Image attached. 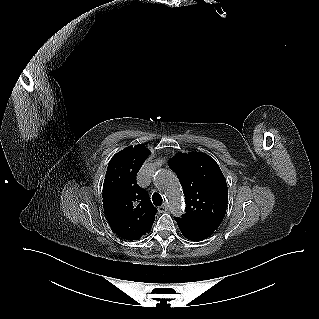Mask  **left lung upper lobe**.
I'll return each instance as SVG.
<instances>
[{
	"mask_svg": "<svg viewBox=\"0 0 319 319\" xmlns=\"http://www.w3.org/2000/svg\"><path fill=\"white\" fill-rule=\"evenodd\" d=\"M176 173L186 200L182 220L217 229L224 218L228 202L227 183L216 161L207 154L178 153L168 161Z\"/></svg>",
	"mask_w": 319,
	"mask_h": 319,
	"instance_id": "5c2ea615",
	"label": "left lung upper lobe"
}]
</instances>
